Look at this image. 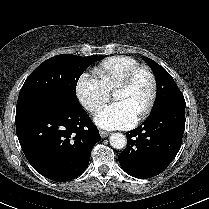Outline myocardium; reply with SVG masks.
Here are the masks:
<instances>
[{
	"instance_id": "myocardium-1",
	"label": "myocardium",
	"mask_w": 209,
	"mask_h": 209,
	"mask_svg": "<svg viewBox=\"0 0 209 209\" xmlns=\"http://www.w3.org/2000/svg\"><path fill=\"white\" fill-rule=\"evenodd\" d=\"M140 73H145L150 78L151 93L145 108L137 116V121L146 118L153 109L154 104L156 102L157 94H158V81L154 72L147 66L138 65L137 67L130 70L128 74L119 82V84L115 88V91H117L130 87L133 81L135 80V78L137 77V75H139Z\"/></svg>"
}]
</instances>
